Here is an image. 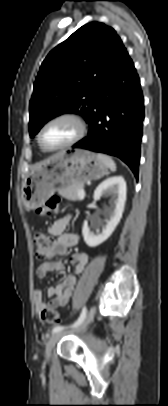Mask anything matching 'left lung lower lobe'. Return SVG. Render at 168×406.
I'll use <instances>...</instances> for the list:
<instances>
[{
    "label": "left lung lower lobe",
    "instance_id": "obj_1",
    "mask_svg": "<svg viewBox=\"0 0 168 406\" xmlns=\"http://www.w3.org/2000/svg\"><path fill=\"white\" fill-rule=\"evenodd\" d=\"M143 120L139 77L125 49L100 88L88 136L73 148L116 156L138 177Z\"/></svg>",
    "mask_w": 168,
    "mask_h": 406
}]
</instances>
